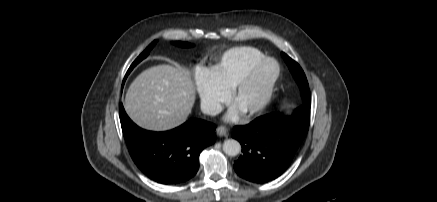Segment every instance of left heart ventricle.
Instances as JSON below:
<instances>
[{
	"mask_svg": "<svg viewBox=\"0 0 437 202\" xmlns=\"http://www.w3.org/2000/svg\"><path fill=\"white\" fill-rule=\"evenodd\" d=\"M274 72L275 66L272 63H268L258 70L252 82L235 101V106L240 112L243 113L254 107L261 100Z\"/></svg>",
	"mask_w": 437,
	"mask_h": 202,
	"instance_id": "1",
	"label": "left heart ventricle"
}]
</instances>
